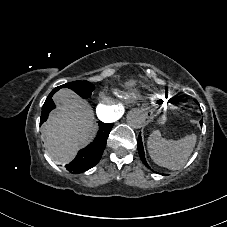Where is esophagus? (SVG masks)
I'll return each mask as SVG.
<instances>
[{"mask_svg": "<svg viewBox=\"0 0 227 227\" xmlns=\"http://www.w3.org/2000/svg\"><path fill=\"white\" fill-rule=\"evenodd\" d=\"M143 115H144L145 119L148 120V121L153 120L154 117H155L154 112L150 108H145L143 110Z\"/></svg>", "mask_w": 227, "mask_h": 227, "instance_id": "1", "label": "esophagus"}]
</instances>
